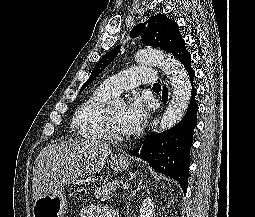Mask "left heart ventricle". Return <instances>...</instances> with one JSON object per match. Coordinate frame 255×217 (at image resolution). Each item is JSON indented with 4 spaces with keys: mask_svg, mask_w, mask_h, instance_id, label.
<instances>
[{
    "mask_svg": "<svg viewBox=\"0 0 255 217\" xmlns=\"http://www.w3.org/2000/svg\"><path fill=\"white\" fill-rule=\"evenodd\" d=\"M124 111H125V108L123 106L112 107L110 108V116H111V120L115 130L119 134L126 135L123 129V124H122Z\"/></svg>",
    "mask_w": 255,
    "mask_h": 217,
    "instance_id": "b2bd125f",
    "label": "left heart ventricle"
}]
</instances>
